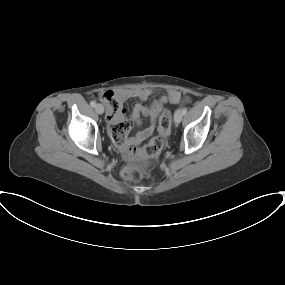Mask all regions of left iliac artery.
Returning a JSON list of instances; mask_svg holds the SVG:
<instances>
[{"instance_id":"obj_1","label":"left iliac artery","mask_w":285,"mask_h":285,"mask_svg":"<svg viewBox=\"0 0 285 285\" xmlns=\"http://www.w3.org/2000/svg\"><path fill=\"white\" fill-rule=\"evenodd\" d=\"M182 113L185 115L187 113V108H183Z\"/></svg>"}]
</instances>
